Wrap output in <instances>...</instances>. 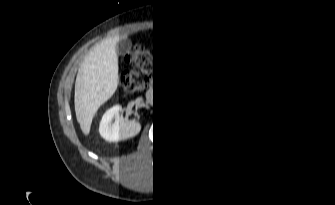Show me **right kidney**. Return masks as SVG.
<instances>
[{
  "label": "right kidney",
  "mask_w": 335,
  "mask_h": 205,
  "mask_svg": "<svg viewBox=\"0 0 335 205\" xmlns=\"http://www.w3.org/2000/svg\"><path fill=\"white\" fill-rule=\"evenodd\" d=\"M140 130L141 126L138 121L128 122L124 118L120 106L107 111L100 124V134L108 141H120L134 137Z\"/></svg>",
  "instance_id": "ca27d5eb"
}]
</instances>
